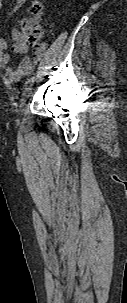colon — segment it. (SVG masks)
I'll list each match as a JSON object with an SVG mask.
<instances>
[{
  "label": "colon",
  "instance_id": "obj_1",
  "mask_svg": "<svg viewBox=\"0 0 127 303\" xmlns=\"http://www.w3.org/2000/svg\"><path fill=\"white\" fill-rule=\"evenodd\" d=\"M40 6H35V12L40 11ZM22 35L29 43H37L42 38V28L40 24L33 19L25 20L21 25Z\"/></svg>",
  "mask_w": 127,
  "mask_h": 303
}]
</instances>
